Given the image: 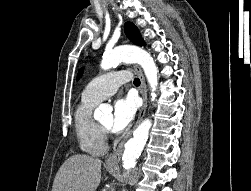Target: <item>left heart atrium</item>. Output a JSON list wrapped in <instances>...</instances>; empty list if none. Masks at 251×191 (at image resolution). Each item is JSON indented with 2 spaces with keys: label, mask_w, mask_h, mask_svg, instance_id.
Here are the masks:
<instances>
[{
  "label": "left heart atrium",
  "mask_w": 251,
  "mask_h": 191,
  "mask_svg": "<svg viewBox=\"0 0 251 191\" xmlns=\"http://www.w3.org/2000/svg\"><path fill=\"white\" fill-rule=\"evenodd\" d=\"M136 112V106L131 99H121L115 102L110 122V128L114 133H121L132 122Z\"/></svg>",
  "instance_id": "left-heart-atrium-1"
}]
</instances>
